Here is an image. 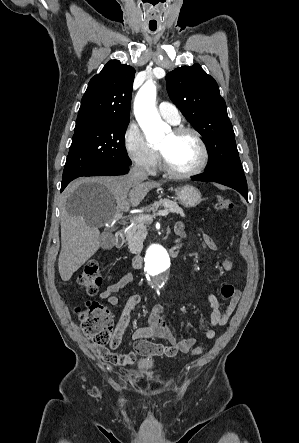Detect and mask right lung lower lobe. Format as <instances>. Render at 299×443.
Returning <instances> with one entry per match:
<instances>
[{"label": "right lung lower lobe", "instance_id": "1", "mask_svg": "<svg viewBox=\"0 0 299 443\" xmlns=\"http://www.w3.org/2000/svg\"><path fill=\"white\" fill-rule=\"evenodd\" d=\"M129 171V165L127 164H115V165H109L104 166L98 169H95L93 171H90L88 173H85L82 176H115V175H124L127 174ZM68 183H62L61 185V192L64 190V188L67 186Z\"/></svg>", "mask_w": 299, "mask_h": 443}]
</instances>
